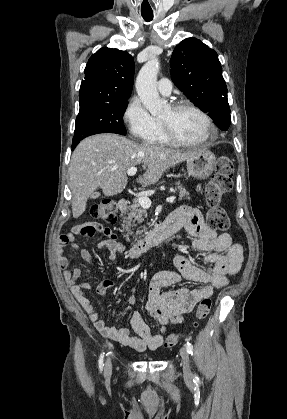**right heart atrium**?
Wrapping results in <instances>:
<instances>
[{
    "instance_id": "right-heart-atrium-1",
    "label": "right heart atrium",
    "mask_w": 287,
    "mask_h": 419,
    "mask_svg": "<svg viewBox=\"0 0 287 419\" xmlns=\"http://www.w3.org/2000/svg\"><path fill=\"white\" fill-rule=\"evenodd\" d=\"M123 120L129 133L134 138L144 141L148 140L158 129V121L137 96L129 101L123 113Z\"/></svg>"
}]
</instances>
